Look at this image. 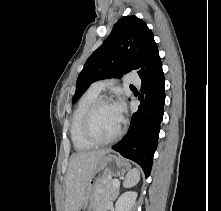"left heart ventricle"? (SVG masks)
Segmentation results:
<instances>
[{
    "instance_id": "1",
    "label": "left heart ventricle",
    "mask_w": 221,
    "mask_h": 211,
    "mask_svg": "<svg viewBox=\"0 0 221 211\" xmlns=\"http://www.w3.org/2000/svg\"><path fill=\"white\" fill-rule=\"evenodd\" d=\"M121 120L112 104L101 105L93 115L92 132L99 139H107L118 131Z\"/></svg>"
}]
</instances>
